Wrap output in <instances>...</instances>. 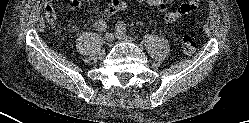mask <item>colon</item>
I'll return each instance as SVG.
<instances>
[{
    "mask_svg": "<svg viewBox=\"0 0 249 123\" xmlns=\"http://www.w3.org/2000/svg\"><path fill=\"white\" fill-rule=\"evenodd\" d=\"M196 42L190 35H185L181 40V49L185 55H192L196 51Z\"/></svg>",
    "mask_w": 249,
    "mask_h": 123,
    "instance_id": "1",
    "label": "colon"
}]
</instances>
